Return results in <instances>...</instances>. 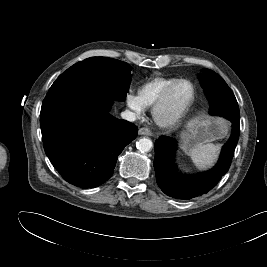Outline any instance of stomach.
Returning <instances> with one entry per match:
<instances>
[{
  "instance_id": "1",
  "label": "stomach",
  "mask_w": 267,
  "mask_h": 267,
  "mask_svg": "<svg viewBox=\"0 0 267 267\" xmlns=\"http://www.w3.org/2000/svg\"><path fill=\"white\" fill-rule=\"evenodd\" d=\"M227 132V122L218 117H203L191 121L182 134V147L190 151L193 147L222 138Z\"/></svg>"
}]
</instances>
